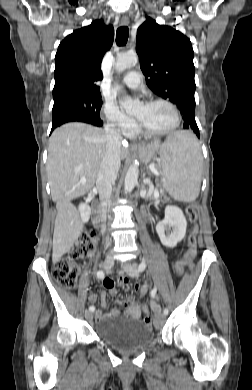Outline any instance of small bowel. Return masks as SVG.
I'll return each instance as SVG.
<instances>
[{
    "label": "small bowel",
    "mask_w": 252,
    "mask_h": 390,
    "mask_svg": "<svg viewBox=\"0 0 252 390\" xmlns=\"http://www.w3.org/2000/svg\"><path fill=\"white\" fill-rule=\"evenodd\" d=\"M118 282L122 285L124 282L128 283V280L126 278H119ZM104 288L107 289L112 296H116L117 290L115 289V283L111 279H107L103 283ZM102 290L100 294L92 293L89 295V302L91 304H95L98 300V297L100 296L102 299V306L104 308L108 307V303L105 300L106 297V290ZM148 286L147 284H143L140 287V296H144L147 293ZM120 304L125 308V314L128 316L130 319L134 321H139L141 319V312L142 310L146 312L147 308L146 307H141L139 299L138 298H127L124 300L120 301ZM121 312L116 309L112 308L109 309L107 312L103 313L100 309L96 310V319L102 320L104 318H115L120 316Z\"/></svg>",
    "instance_id": "1"
}]
</instances>
